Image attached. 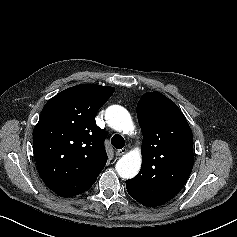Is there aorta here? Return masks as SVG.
Listing matches in <instances>:
<instances>
[{
    "label": "aorta",
    "mask_w": 237,
    "mask_h": 237,
    "mask_svg": "<svg viewBox=\"0 0 237 237\" xmlns=\"http://www.w3.org/2000/svg\"><path fill=\"white\" fill-rule=\"evenodd\" d=\"M105 119L110 127L119 132H130L134 129L129 112L120 105H112L106 109ZM141 167V153L131 151L116 163L118 175L131 179L137 175Z\"/></svg>",
    "instance_id": "1"
}]
</instances>
